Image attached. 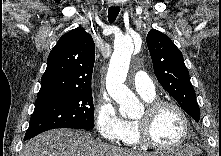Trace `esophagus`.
Segmentation results:
<instances>
[{"label":"esophagus","mask_w":221,"mask_h":156,"mask_svg":"<svg viewBox=\"0 0 221 156\" xmlns=\"http://www.w3.org/2000/svg\"><path fill=\"white\" fill-rule=\"evenodd\" d=\"M110 5H111V6H114V7H117L119 4H118L117 2H115V1H111V2H110Z\"/></svg>","instance_id":"1"}]
</instances>
